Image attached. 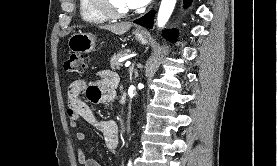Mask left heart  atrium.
<instances>
[{
	"label": "left heart atrium",
	"mask_w": 277,
	"mask_h": 166,
	"mask_svg": "<svg viewBox=\"0 0 277 166\" xmlns=\"http://www.w3.org/2000/svg\"><path fill=\"white\" fill-rule=\"evenodd\" d=\"M149 2H150V0H127V4L132 9L144 7Z\"/></svg>",
	"instance_id": "obj_1"
}]
</instances>
